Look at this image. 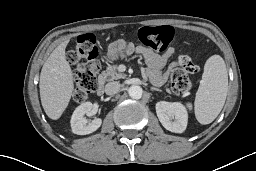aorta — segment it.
<instances>
[{"mask_svg": "<svg viewBox=\"0 0 256 171\" xmlns=\"http://www.w3.org/2000/svg\"><path fill=\"white\" fill-rule=\"evenodd\" d=\"M142 93V88L137 85H133L128 89V94L132 99H140L142 97Z\"/></svg>", "mask_w": 256, "mask_h": 171, "instance_id": "762f6f07", "label": "aorta"}]
</instances>
